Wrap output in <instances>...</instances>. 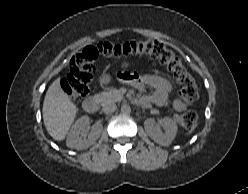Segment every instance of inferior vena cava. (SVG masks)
<instances>
[{
    "label": "inferior vena cava",
    "instance_id": "1",
    "mask_svg": "<svg viewBox=\"0 0 248 194\" xmlns=\"http://www.w3.org/2000/svg\"><path fill=\"white\" fill-rule=\"evenodd\" d=\"M117 109L115 104H106L103 106V112L105 113H112Z\"/></svg>",
    "mask_w": 248,
    "mask_h": 194
}]
</instances>
